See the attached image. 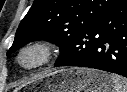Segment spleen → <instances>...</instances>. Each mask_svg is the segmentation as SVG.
<instances>
[{"label": "spleen", "mask_w": 127, "mask_h": 92, "mask_svg": "<svg viewBox=\"0 0 127 92\" xmlns=\"http://www.w3.org/2000/svg\"><path fill=\"white\" fill-rule=\"evenodd\" d=\"M114 92H127V79L119 75H111Z\"/></svg>", "instance_id": "1"}]
</instances>
